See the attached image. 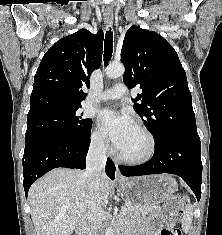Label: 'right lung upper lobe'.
Here are the masks:
<instances>
[{"instance_id": "cb5924a9", "label": "right lung upper lobe", "mask_w": 222, "mask_h": 235, "mask_svg": "<svg viewBox=\"0 0 222 235\" xmlns=\"http://www.w3.org/2000/svg\"><path fill=\"white\" fill-rule=\"evenodd\" d=\"M103 31L80 29L57 41L43 56L30 97L32 116L53 107L81 105L89 77L101 64Z\"/></svg>"}]
</instances>
